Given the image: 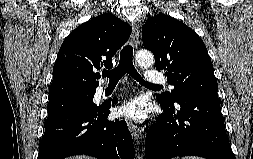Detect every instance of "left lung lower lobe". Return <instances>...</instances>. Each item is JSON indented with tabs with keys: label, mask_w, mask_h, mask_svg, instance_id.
<instances>
[{
	"label": "left lung lower lobe",
	"mask_w": 253,
	"mask_h": 159,
	"mask_svg": "<svg viewBox=\"0 0 253 159\" xmlns=\"http://www.w3.org/2000/svg\"><path fill=\"white\" fill-rule=\"evenodd\" d=\"M158 100V99H157ZM162 114L146 135V159L200 156L207 159H235L225 131L218 97L196 95L169 106L158 100Z\"/></svg>",
	"instance_id": "left-lung-lower-lobe-1"
}]
</instances>
